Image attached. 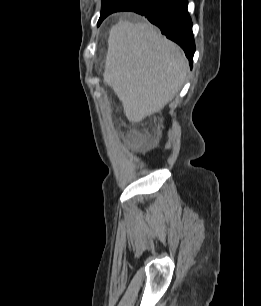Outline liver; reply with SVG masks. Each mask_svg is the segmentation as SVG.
<instances>
[{
	"label": "liver",
	"instance_id": "6515ba94",
	"mask_svg": "<svg viewBox=\"0 0 261 306\" xmlns=\"http://www.w3.org/2000/svg\"><path fill=\"white\" fill-rule=\"evenodd\" d=\"M183 51L148 23L113 25L103 81L123 104L130 122L159 112L180 91L188 72Z\"/></svg>",
	"mask_w": 261,
	"mask_h": 306
}]
</instances>
